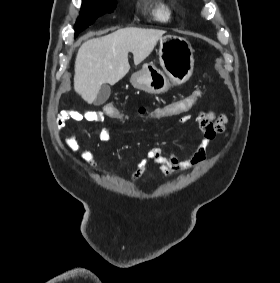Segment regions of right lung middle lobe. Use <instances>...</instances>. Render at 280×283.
<instances>
[{"instance_id": "obj_1", "label": "right lung middle lobe", "mask_w": 280, "mask_h": 283, "mask_svg": "<svg viewBox=\"0 0 280 283\" xmlns=\"http://www.w3.org/2000/svg\"><path fill=\"white\" fill-rule=\"evenodd\" d=\"M116 0H83L81 13L75 23V36L91 25L95 19L104 13L114 11Z\"/></svg>"}]
</instances>
